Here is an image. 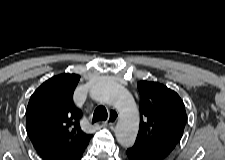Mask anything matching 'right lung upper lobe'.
Returning a JSON list of instances; mask_svg holds the SVG:
<instances>
[{"instance_id":"cb5924a9","label":"right lung upper lobe","mask_w":225,"mask_h":160,"mask_svg":"<svg viewBox=\"0 0 225 160\" xmlns=\"http://www.w3.org/2000/svg\"><path fill=\"white\" fill-rule=\"evenodd\" d=\"M79 79L76 74L54 76L30 97L26 129L44 159L79 160L89 144L92 135L82 129V113L73 103Z\"/></svg>"}]
</instances>
